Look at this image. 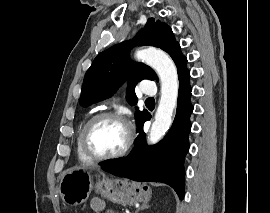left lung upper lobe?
I'll return each mask as SVG.
<instances>
[{
	"mask_svg": "<svg viewBox=\"0 0 270 213\" xmlns=\"http://www.w3.org/2000/svg\"><path fill=\"white\" fill-rule=\"evenodd\" d=\"M135 45L161 48L175 62L178 74L186 69L187 58L181 53L180 45L175 40L171 28L163 22H155L154 18H150L134 39L119 43L94 59L83 81L81 105L88 106L110 97L125 81L128 83L127 99L130 104H136L137 97L134 92L136 84L143 79L154 80L156 74L149 66L129 59V51ZM148 114L146 110L136 111L138 125Z\"/></svg>",
	"mask_w": 270,
	"mask_h": 213,
	"instance_id": "obj_1",
	"label": "left lung upper lobe"
}]
</instances>
